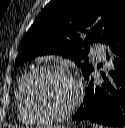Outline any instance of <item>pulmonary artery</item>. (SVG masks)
I'll use <instances>...</instances> for the list:
<instances>
[{"label":"pulmonary artery","instance_id":"obj_1","mask_svg":"<svg viewBox=\"0 0 125 128\" xmlns=\"http://www.w3.org/2000/svg\"><path fill=\"white\" fill-rule=\"evenodd\" d=\"M93 55L98 59H102L104 56V51L101 48H95L93 50Z\"/></svg>","mask_w":125,"mask_h":128}]
</instances>
